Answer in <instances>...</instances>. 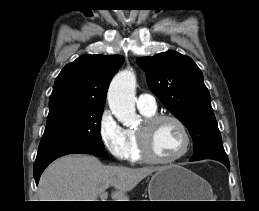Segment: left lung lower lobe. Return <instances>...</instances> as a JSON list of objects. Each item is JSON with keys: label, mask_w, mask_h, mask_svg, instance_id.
<instances>
[{"label": "left lung lower lobe", "mask_w": 259, "mask_h": 211, "mask_svg": "<svg viewBox=\"0 0 259 211\" xmlns=\"http://www.w3.org/2000/svg\"><path fill=\"white\" fill-rule=\"evenodd\" d=\"M218 161L222 162L228 169H230L229 160H218Z\"/></svg>", "instance_id": "left-lung-lower-lobe-1"}]
</instances>
